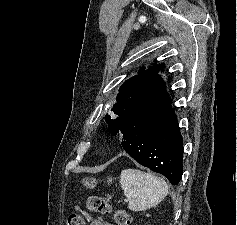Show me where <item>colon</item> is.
Returning <instances> with one entry per match:
<instances>
[{
	"instance_id": "obj_1",
	"label": "colon",
	"mask_w": 237,
	"mask_h": 225,
	"mask_svg": "<svg viewBox=\"0 0 237 225\" xmlns=\"http://www.w3.org/2000/svg\"><path fill=\"white\" fill-rule=\"evenodd\" d=\"M87 209L103 215H113L117 225H131L130 215L120 208H115L112 202L102 196H90L87 200ZM67 225H85L82 216L71 214L67 218Z\"/></svg>"
}]
</instances>
